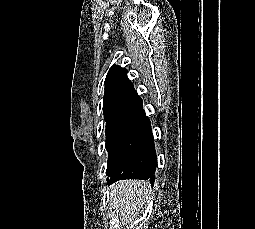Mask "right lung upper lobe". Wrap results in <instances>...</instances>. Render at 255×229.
Instances as JSON below:
<instances>
[{"instance_id": "1", "label": "right lung upper lobe", "mask_w": 255, "mask_h": 229, "mask_svg": "<svg viewBox=\"0 0 255 229\" xmlns=\"http://www.w3.org/2000/svg\"><path fill=\"white\" fill-rule=\"evenodd\" d=\"M142 105V99L127 78V70L116 65L112 66L105 79L103 99L105 121L110 122L114 118L123 116L130 110L137 109Z\"/></svg>"}]
</instances>
